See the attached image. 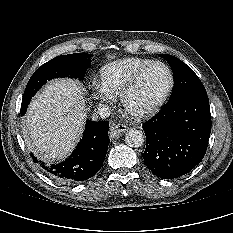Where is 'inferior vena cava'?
<instances>
[{
  "mask_svg": "<svg viewBox=\"0 0 233 233\" xmlns=\"http://www.w3.org/2000/svg\"><path fill=\"white\" fill-rule=\"evenodd\" d=\"M98 114L100 118L105 119L108 118L111 114V110L109 109L108 106L100 104L98 107Z\"/></svg>",
  "mask_w": 233,
  "mask_h": 233,
  "instance_id": "obj_1",
  "label": "inferior vena cava"
}]
</instances>
